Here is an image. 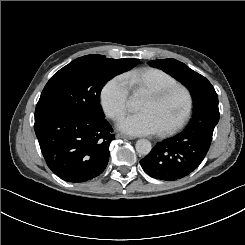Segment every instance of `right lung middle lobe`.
I'll return each instance as SVG.
<instances>
[{"instance_id":"obj_1","label":"right lung middle lobe","mask_w":245,"mask_h":245,"mask_svg":"<svg viewBox=\"0 0 245 245\" xmlns=\"http://www.w3.org/2000/svg\"><path fill=\"white\" fill-rule=\"evenodd\" d=\"M139 63L138 59H107L86 55L56 72L44 87L35 116L50 112H69L88 118H104L99 96L105 83Z\"/></svg>"}]
</instances>
